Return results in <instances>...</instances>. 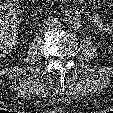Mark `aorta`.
Returning a JSON list of instances; mask_svg holds the SVG:
<instances>
[{
  "mask_svg": "<svg viewBox=\"0 0 113 113\" xmlns=\"http://www.w3.org/2000/svg\"><path fill=\"white\" fill-rule=\"evenodd\" d=\"M68 27L72 30H77L82 26V20L79 16H71L67 21Z\"/></svg>",
  "mask_w": 113,
  "mask_h": 113,
  "instance_id": "aorta-1",
  "label": "aorta"
}]
</instances>
